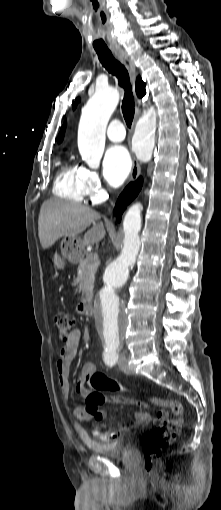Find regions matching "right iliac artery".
<instances>
[{
  "label": "right iliac artery",
  "instance_id": "right-iliac-artery-1",
  "mask_svg": "<svg viewBox=\"0 0 221 510\" xmlns=\"http://www.w3.org/2000/svg\"><path fill=\"white\" fill-rule=\"evenodd\" d=\"M118 360V354L115 350H106L105 353H104V361L105 363L112 367L113 365L116 364Z\"/></svg>",
  "mask_w": 221,
  "mask_h": 510
}]
</instances>
